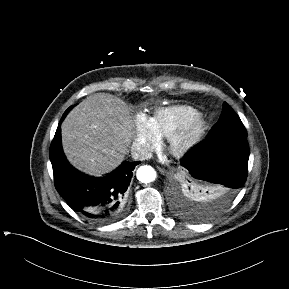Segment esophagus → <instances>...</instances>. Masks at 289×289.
I'll return each mask as SVG.
<instances>
[{
    "label": "esophagus",
    "instance_id": "34e87169",
    "mask_svg": "<svg viewBox=\"0 0 289 289\" xmlns=\"http://www.w3.org/2000/svg\"><path fill=\"white\" fill-rule=\"evenodd\" d=\"M157 169L162 173V174H166L167 170H165L164 168L157 166Z\"/></svg>",
    "mask_w": 289,
    "mask_h": 289
}]
</instances>
